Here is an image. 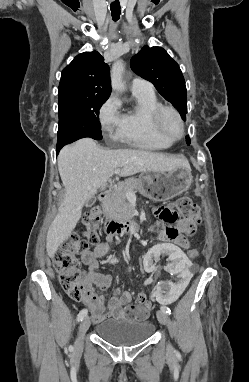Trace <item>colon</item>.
Masks as SVG:
<instances>
[{
  "label": "colon",
  "mask_w": 249,
  "mask_h": 382,
  "mask_svg": "<svg viewBox=\"0 0 249 382\" xmlns=\"http://www.w3.org/2000/svg\"><path fill=\"white\" fill-rule=\"evenodd\" d=\"M176 212L183 216L200 219L197 206L188 197H180L168 207H164L162 214L169 217L170 212ZM100 208H93L84 218V223L88 227L87 240L80 239L77 236H71L63 242L61 249L57 250L53 256V264L56 271L60 274V283L63 290L69 297L75 301H81L86 296V284L83 281V275L78 268L77 255L88 249L90 244L98 242V233L96 225L99 221ZM190 258H197L198 249L188 251ZM147 297L144 292H140L137 297L138 305L147 304Z\"/></svg>",
  "instance_id": "obj_1"
}]
</instances>
